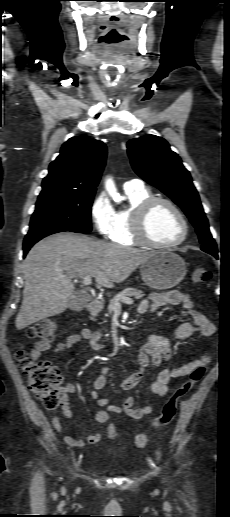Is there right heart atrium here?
Listing matches in <instances>:
<instances>
[{"instance_id":"d8ad5b80","label":"right heart atrium","mask_w":230,"mask_h":517,"mask_svg":"<svg viewBox=\"0 0 230 517\" xmlns=\"http://www.w3.org/2000/svg\"><path fill=\"white\" fill-rule=\"evenodd\" d=\"M90 215L98 234L110 238L116 225V211L105 194H99L94 198Z\"/></svg>"}]
</instances>
